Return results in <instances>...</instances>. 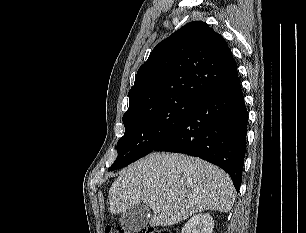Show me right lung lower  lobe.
Returning a JSON list of instances; mask_svg holds the SVG:
<instances>
[{
	"mask_svg": "<svg viewBox=\"0 0 306 233\" xmlns=\"http://www.w3.org/2000/svg\"><path fill=\"white\" fill-rule=\"evenodd\" d=\"M247 122L238 81L200 103L153 151L184 153L207 160L225 170L239 191Z\"/></svg>",
	"mask_w": 306,
	"mask_h": 233,
	"instance_id": "obj_1",
	"label": "right lung lower lobe"
}]
</instances>
